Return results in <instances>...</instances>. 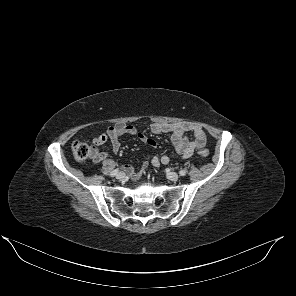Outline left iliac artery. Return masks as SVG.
Masks as SVG:
<instances>
[{"mask_svg":"<svg viewBox=\"0 0 296 296\" xmlns=\"http://www.w3.org/2000/svg\"><path fill=\"white\" fill-rule=\"evenodd\" d=\"M179 174H180L181 176H185V175H186V171H185V170H180V171H179Z\"/></svg>","mask_w":296,"mask_h":296,"instance_id":"left-iliac-artery-1","label":"left iliac artery"}]
</instances>
